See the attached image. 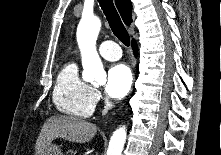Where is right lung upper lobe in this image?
I'll return each mask as SVG.
<instances>
[{
    "mask_svg": "<svg viewBox=\"0 0 221 155\" xmlns=\"http://www.w3.org/2000/svg\"><path fill=\"white\" fill-rule=\"evenodd\" d=\"M115 2L124 23L130 25L132 22V4L130 0H115Z\"/></svg>",
    "mask_w": 221,
    "mask_h": 155,
    "instance_id": "1",
    "label": "right lung upper lobe"
}]
</instances>
